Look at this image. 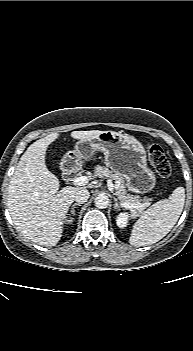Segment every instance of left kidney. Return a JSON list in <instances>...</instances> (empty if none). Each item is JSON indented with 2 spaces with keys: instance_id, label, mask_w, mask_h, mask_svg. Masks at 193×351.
<instances>
[{
  "instance_id": "left-kidney-1",
  "label": "left kidney",
  "mask_w": 193,
  "mask_h": 351,
  "mask_svg": "<svg viewBox=\"0 0 193 351\" xmlns=\"http://www.w3.org/2000/svg\"><path fill=\"white\" fill-rule=\"evenodd\" d=\"M129 214L125 212L119 213L116 218V224L119 228H125L128 225Z\"/></svg>"
}]
</instances>
